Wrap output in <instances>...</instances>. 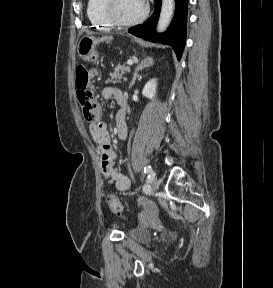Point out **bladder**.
Listing matches in <instances>:
<instances>
[{
  "mask_svg": "<svg viewBox=\"0 0 273 288\" xmlns=\"http://www.w3.org/2000/svg\"><path fill=\"white\" fill-rule=\"evenodd\" d=\"M128 237L137 242L147 243L151 240L152 235L149 230L137 227L129 232Z\"/></svg>",
  "mask_w": 273,
  "mask_h": 288,
  "instance_id": "31cf9c89",
  "label": "bladder"
}]
</instances>
